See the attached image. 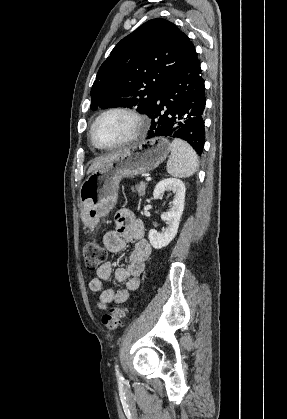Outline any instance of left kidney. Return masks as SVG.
<instances>
[{"label":"left kidney","instance_id":"5707ae66","mask_svg":"<svg viewBox=\"0 0 287 419\" xmlns=\"http://www.w3.org/2000/svg\"><path fill=\"white\" fill-rule=\"evenodd\" d=\"M172 192L174 195L172 207L168 212L161 215V219L166 221L167 228L163 232L151 229L148 234L149 241L153 248L161 249L167 246L176 236L180 219L184 210L185 185L176 178L163 179L155 186L153 197L159 199L164 192Z\"/></svg>","mask_w":287,"mask_h":419}]
</instances>
